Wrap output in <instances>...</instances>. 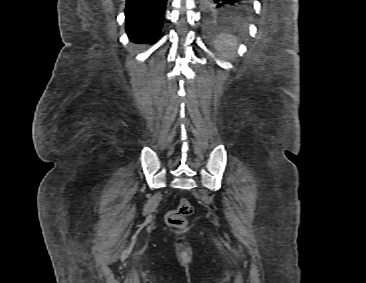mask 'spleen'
Here are the masks:
<instances>
[{"label": "spleen", "instance_id": "1", "mask_svg": "<svg viewBox=\"0 0 366 283\" xmlns=\"http://www.w3.org/2000/svg\"><path fill=\"white\" fill-rule=\"evenodd\" d=\"M215 48L226 59H233L237 49V38L222 34L215 40Z\"/></svg>", "mask_w": 366, "mask_h": 283}]
</instances>
